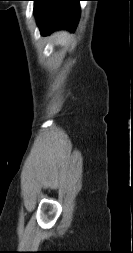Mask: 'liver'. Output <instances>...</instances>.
Wrapping results in <instances>:
<instances>
[{"instance_id": "6515ba94", "label": "liver", "mask_w": 133, "mask_h": 253, "mask_svg": "<svg viewBox=\"0 0 133 253\" xmlns=\"http://www.w3.org/2000/svg\"><path fill=\"white\" fill-rule=\"evenodd\" d=\"M56 37V43L64 44L67 41L68 33L66 32H59L55 35Z\"/></svg>"}]
</instances>
